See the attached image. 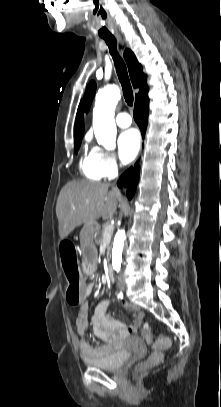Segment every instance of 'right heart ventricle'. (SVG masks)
Here are the masks:
<instances>
[{
  "mask_svg": "<svg viewBox=\"0 0 221 407\" xmlns=\"http://www.w3.org/2000/svg\"><path fill=\"white\" fill-rule=\"evenodd\" d=\"M80 169L84 176L90 180H101L103 178L102 174L98 170L95 160L91 152L86 156L82 157L80 160Z\"/></svg>",
  "mask_w": 221,
  "mask_h": 407,
  "instance_id": "obj_1",
  "label": "right heart ventricle"
}]
</instances>
